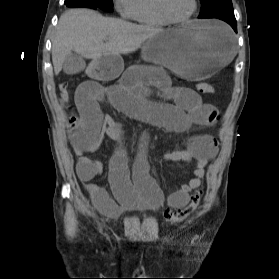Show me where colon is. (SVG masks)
I'll return each mask as SVG.
<instances>
[{"mask_svg": "<svg viewBox=\"0 0 279 279\" xmlns=\"http://www.w3.org/2000/svg\"><path fill=\"white\" fill-rule=\"evenodd\" d=\"M196 88L198 92L203 94H210V93H214L215 91L213 85L209 83H199L196 86ZM59 96H60V100L63 102H69L72 99L70 88L66 82H62L59 84ZM200 198H201V191H196L191 197V201L187 206L166 210L165 212L166 219L172 223H176L184 220L196 210L197 206L199 205Z\"/></svg>", "mask_w": 279, "mask_h": 279, "instance_id": "1", "label": "colon"}]
</instances>
